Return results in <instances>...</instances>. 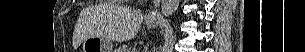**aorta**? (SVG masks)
Wrapping results in <instances>:
<instances>
[{
	"instance_id": "1",
	"label": "aorta",
	"mask_w": 305,
	"mask_h": 52,
	"mask_svg": "<svg viewBox=\"0 0 305 52\" xmlns=\"http://www.w3.org/2000/svg\"><path fill=\"white\" fill-rule=\"evenodd\" d=\"M180 4V0H162L161 1V10L162 14L165 17H169L175 13Z\"/></svg>"
}]
</instances>
